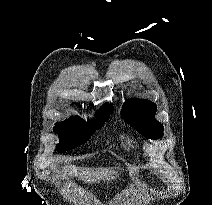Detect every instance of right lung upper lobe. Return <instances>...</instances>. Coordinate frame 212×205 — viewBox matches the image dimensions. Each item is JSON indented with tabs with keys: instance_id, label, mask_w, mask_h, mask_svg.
Wrapping results in <instances>:
<instances>
[{
	"instance_id": "right-lung-upper-lobe-1",
	"label": "right lung upper lobe",
	"mask_w": 212,
	"mask_h": 205,
	"mask_svg": "<svg viewBox=\"0 0 212 205\" xmlns=\"http://www.w3.org/2000/svg\"><path fill=\"white\" fill-rule=\"evenodd\" d=\"M103 107H113L111 104H109V103H106V104H104V106H102L101 108H103Z\"/></svg>"
}]
</instances>
